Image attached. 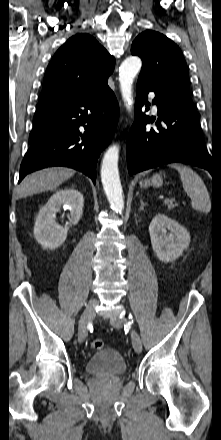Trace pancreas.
<instances>
[{
  "instance_id": "pancreas-1",
  "label": "pancreas",
  "mask_w": 221,
  "mask_h": 440,
  "mask_svg": "<svg viewBox=\"0 0 221 440\" xmlns=\"http://www.w3.org/2000/svg\"><path fill=\"white\" fill-rule=\"evenodd\" d=\"M165 204L167 205V208L169 210H171V209H173V208H175L177 206V203H173V201L165 202Z\"/></svg>"
}]
</instances>
